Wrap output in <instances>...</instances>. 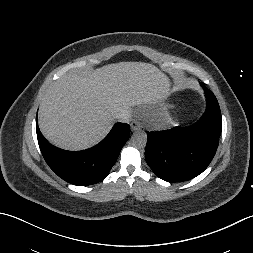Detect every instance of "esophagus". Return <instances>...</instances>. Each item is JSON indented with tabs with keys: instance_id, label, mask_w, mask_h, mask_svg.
Returning <instances> with one entry per match:
<instances>
[{
	"instance_id": "34e87169",
	"label": "esophagus",
	"mask_w": 253,
	"mask_h": 253,
	"mask_svg": "<svg viewBox=\"0 0 253 253\" xmlns=\"http://www.w3.org/2000/svg\"><path fill=\"white\" fill-rule=\"evenodd\" d=\"M138 129H140V123L137 120H134L131 123V131H136Z\"/></svg>"
}]
</instances>
